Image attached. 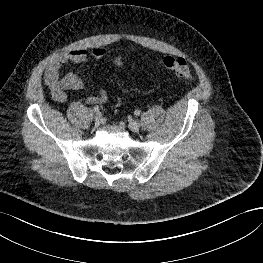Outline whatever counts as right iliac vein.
Masks as SVG:
<instances>
[{
    "instance_id": "right-iliac-vein-1",
    "label": "right iliac vein",
    "mask_w": 263,
    "mask_h": 263,
    "mask_svg": "<svg viewBox=\"0 0 263 263\" xmlns=\"http://www.w3.org/2000/svg\"><path fill=\"white\" fill-rule=\"evenodd\" d=\"M94 120H95V124L96 125H100L101 122H102V114L101 113H96V115L94 117Z\"/></svg>"
}]
</instances>
